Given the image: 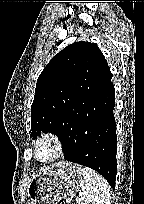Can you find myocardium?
<instances>
[{
    "mask_svg": "<svg viewBox=\"0 0 144 204\" xmlns=\"http://www.w3.org/2000/svg\"><path fill=\"white\" fill-rule=\"evenodd\" d=\"M50 142L55 147V153L52 157L48 159H40L38 157V147L43 142ZM66 151V144L63 138L56 132H45L41 134L33 145V156L36 161L42 164H48L57 161L60 159Z\"/></svg>",
    "mask_w": 144,
    "mask_h": 204,
    "instance_id": "obj_1",
    "label": "myocardium"
}]
</instances>
